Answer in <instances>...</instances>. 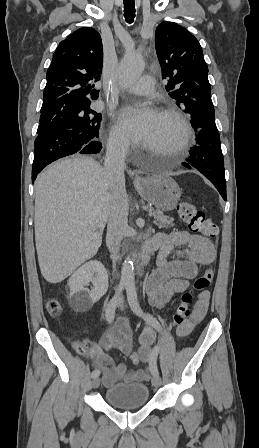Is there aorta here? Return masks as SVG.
I'll list each match as a JSON object with an SVG mask.
<instances>
[{
    "label": "aorta",
    "instance_id": "762f6f07",
    "mask_svg": "<svg viewBox=\"0 0 259 448\" xmlns=\"http://www.w3.org/2000/svg\"><path fill=\"white\" fill-rule=\"evenodd\" d=\"M144 60L136 54H127L122 59L118 77L120 84L127 88L133 85L144 70ZM134 266L131 258H126L121 269V283L128 293L135 292Z\"/></svg>",
    "mask_w": 259,
    "mask_h": 448
}]
</instances>
